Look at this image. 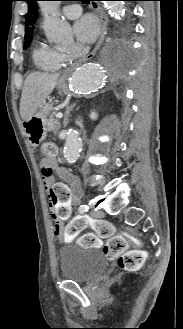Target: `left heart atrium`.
<instances>
[{
  "label": "left heart atrium",
  "mask_w": 183,
  "mask_h": 329,
  "mask_svg": "<svg viewBox=\"0 0 183 329\" xmlns=\"http://www.w3.org/2000/svg\"><path fill=\"white\" fill-rule=\"evenodd\" d=\"M74 33L81 44H90L98 36L99 23L93 15L86 14L75 22Z\"/></svg>",
  "instance_id": "1"
}]
</instances>
